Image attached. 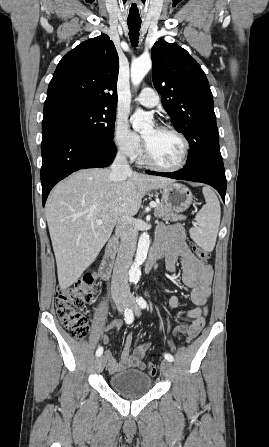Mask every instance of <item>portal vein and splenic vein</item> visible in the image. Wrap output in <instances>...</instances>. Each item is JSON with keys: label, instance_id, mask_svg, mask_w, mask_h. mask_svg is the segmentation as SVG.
<instances>
[{"label": "portal vein and splenic vein", "instance_id": "1", "mask_svg": "<svg viewBox=\"0 0 269 447\" xmlns=\"http://www.w3.org/2000/svg\"><path fill=\"white\" fill-rule=\"evenodd\" d=\"M155 206H156L155 202H150V203L148 204V207H149L150 209H153ZM96 224H103V222H102V220H97Z\"/></svg>", "mask_w": 269, "mask_h": 447}]
</instances>
